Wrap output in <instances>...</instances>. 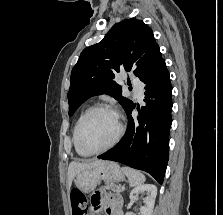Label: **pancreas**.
Returning a JSON list of instances; mask_svg holds the SVG:
<instances>
[{
    "label": "pancreas",
    "mask_w": 223,
    "mask_h": 215,
    "mask_svg": "<svg viewBox=\"0 0 223 215\" xmlns=\"http://www.w3.org/2000/svg\"><path fill=\"white\" fill-rule=\"evenodd\" d=\"M104 189H112V191H122L120 185H116V183H106V185H104Z\"/></svg>",
    "instance_id": "pancreas-1"
}]
</instances>
